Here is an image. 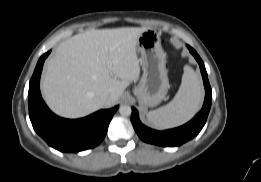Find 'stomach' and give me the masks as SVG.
Masks as SVG:
<instances>
[{"instance_id":"stomach-1","label":"stomach","mask_w":261,"mask_h":182,"mask_svg":"<svg viewBox=\"0 0 261 182\" xmlns=\"http://www.w3.org/2000/svg\"><path fill=\"white\" fill-rule=\"evenodd\" d=\"M136 49L141 56L143 76L133 92L140 106L154 107L165 98L169 89L166 55L157 31L146 29L139 36Z\"/></svg>"}]
</instances>
